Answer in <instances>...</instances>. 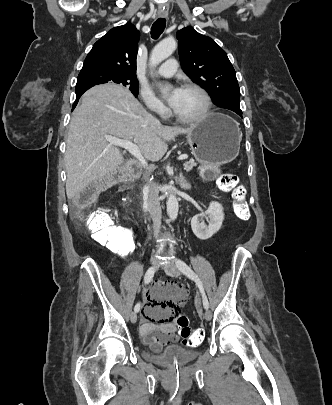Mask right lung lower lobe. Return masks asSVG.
Segmentation results:
<instances>
[{
  "mask_svg": "<svg viewBox=\"0 0 332 405\" xmlns=\"http://www.w3.org/2000/svg\"><path fill=\"white\" fill-rule=\"evenodd\" d=\"M83 93H84V92L76 93V100H75V102H74V104H73V106H72L73 109H74L75 106L77 105L78 100H79L80 96H81ZM73 109H72V110H73Z\"/></svg>",
  "mask_w": 332,
  "mask_h": 405,
  "instance_id": "1",
  "label": "right lung lower lobe"
}]
</instances>
